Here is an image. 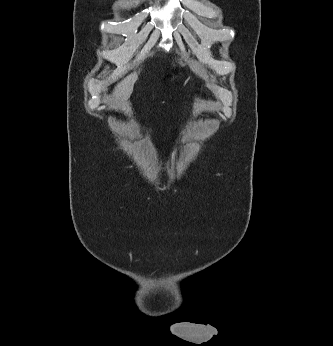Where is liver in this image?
<instances>
[{
	"label": "liver",
	"mask_w": 333,
	"mask_h": 346,
	"mask_svg": "<svg viewBox=\"0 0 333 346\" xmlns=\"http://www.w3.org/2000/svg\"><path fill=\"white\" fill-rule=\"evenodd\" d=\"M138 75L136 72L131 73L117 84L113 92V105L120 106L124 104L131 96L134 83L137 80Z\"/></svg>",
	"instance_id": "liver-1"
}]
</instances>
